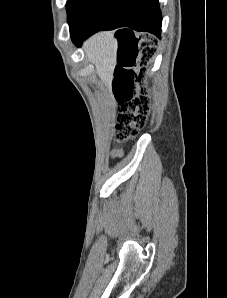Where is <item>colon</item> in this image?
Instances as JSON below:
<instances>
[{
    "mask_svg": "<svg viewBox=\"0 0 227 298\" xmlns=\"http://www.w3.org/2000/svg\"><path fill=\"white\" fill-rule=\"evenodd\" d=\"M154 43L155 40L148 37L142 44L139 54L124 57L117 72L114 91L121 104V117L117 127L119 142H125L133 138L147 124V113L151 101L144 96L134 97L135 84L139 86L141 93L147 90V84L144 81L145 72L142 68L136 72L134 67L137 59L141 64L150 60L154 53Z\"/></svg>",
    "mask_w": 227,
    "mask_h": 298,
    "instance_id": "1",
    "label": "colon"
}]
</instances>
